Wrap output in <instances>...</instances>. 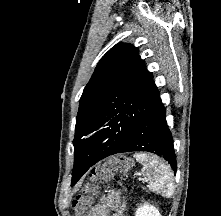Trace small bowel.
Returning a JSON list of instances; mask_svg holds the SVG:
<instances>
[{
    "label": "small bowel",
    "instance_id": "1",
    "mask_svg": "<svg viewBox=\"0 0 221 216\" xmlns=\"http://www.w3.org/2000/svg\"><path fill=\"white\" fill-rule=\"evenodd\" d=\"M120 195L118 192L107 194L101 202L96 205L88 216H108V212L112 211V216H125L123 208L119 205Z\"/></svg>",
    "mask_w": 221,
    "mask_h": 216
}]
</instances>
